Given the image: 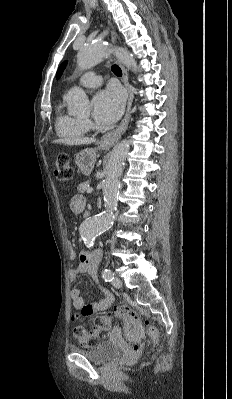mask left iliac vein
Returning <instances> with one entry per match:
<instances>
[{
  "mask_svg": "<svg viewBox=\"0 0 232 399\" xmlns=\"http://www.w3.org/2000/svg\"><path fill=\"white\" fill-rule=\"evenodd\" d=\"M111 286L117 287V289H119V287L123 288L121 278H113L111 281Z\"/></svg>",
  "mask_w": 232,
  "mask_h": 399,
  "instance_id": "1",
  "label": "left iliac vein"
}]
</instances>
